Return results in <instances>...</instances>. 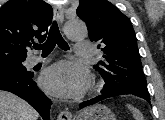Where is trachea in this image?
Instances as JSON below:
<instances>
[{
    "label": "trachea",
    "mask_w": 165,
    "mask_h": 120,
    "mask_svg": "<svg viewBox=\"0 0 165 120\" xmlns=\"http://www.w3.org/2000/svg\"><path fill=\"white\" fill-rule=\"evenodd\" d=\"M56 44L63 50H68V43L63 39L57 22L54 21L50 30L49 35L45 43L34 45V49L42 50V54H50L52 50L55 48Z\"/></svg>",
    "instance_id": "obj_1"
}]
</instances>
